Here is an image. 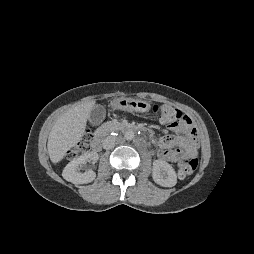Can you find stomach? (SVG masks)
Returning a JSON list of instances; mask_svg holds the SVG:
<instances>
[{"label":"stomach","instance_id":"obj_1","mask_svg":"<svg viewBox=\"0 0 254 254\" xmlns=\"http://www.w3.org/2000/svg\"><path fill=\"white\" fill-rule=\"evenodd\" d=\"M112 106L114 109L128 112H147L150 109L148 102L132 98L115 99L112 102Z\"/></svg>","mask_w":254,"mask_h":254}]
</instances>
